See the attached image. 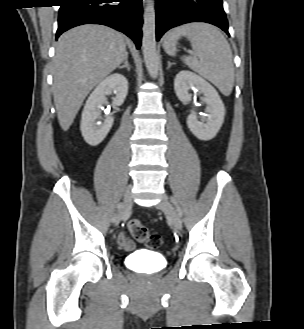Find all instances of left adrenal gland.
<instances>
[{
    "instance_id": "left-adrenal-gland-1",
    "label": "left adrenal gland",
    "mask_w": 304,
    "mask_h": 329,
    "mask_svg": "<svg viewBox=\"0 0 304 329\" xmlns=\"http://www.w3.org/2000/svg\"><path fill=\"white\" fill-rule=\"evenodd\" d=\"M174 63H171L170 61H168V67L167 69H170V67L173 65Z\"/></svg>"
}]
</instances>
